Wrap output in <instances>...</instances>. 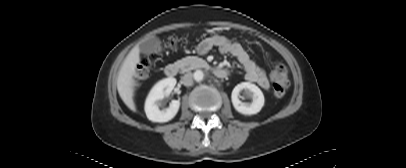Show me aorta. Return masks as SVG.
<instances>
[{"instance_id": "1", "label": "aorta", "mask_w": 406, "mask_h": 168, "mask_svg": "<svg viewBox=\"0 0 406 168\" xmlns=\"http://www.w3.org/2000/svg\"><path fill=\"white\" fill-rule=\"evenodd\" d=\"M193 76H194V79H195L197 82L202 81L203 78H204V74H203V72H202L201 70L195 71Z\"/></svg>"}]
</instances>
